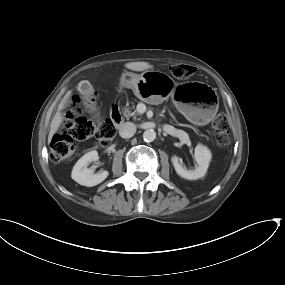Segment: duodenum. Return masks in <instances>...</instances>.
Wrapping results in <instances>:
<instances>
[{
  "instance_id": "obj_1",
  "label": "duodenum",
  "mask_w": 285,
  "mask_h": 285,
  "mask_svg": "<svg viewBox=\"0 0 285 285\" xmlns=\"http://www.w3.org/2000/svg\"><path fill=\"white\" fill-rule=\"evenodd\" d=\"M111 120L119 127L122 124L123 118L119 104V98L113 103L110 113Z\"/></svg>"
}]
</instances>
